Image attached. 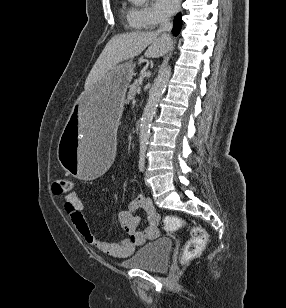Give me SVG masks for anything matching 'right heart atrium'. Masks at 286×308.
<instances>
[{
    "instance_id": "d8ad5b80",
    "label": "right heart atrium",
    "mask_w": 286,
    "mask_h": 308,
    "mask_svg": "<svg viewBox=\"0 0 286 308\" xmlns=\"http://www.w3.org/2000/svg\"><path fill=\"white\" fill-rule=\"evenodd\" d=\"M135 16L138 25L142 29H152L166 21L165 17L159 15L148 5L136 8Z\"/></svg>"
}]
</instances>
